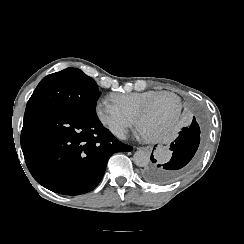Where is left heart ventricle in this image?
Returning a JSON list of instances; mask_svg holds the SVG:
<instances>
[{
	"mask_svg": "<svg viewBox=\"0 0 244 244\" xmlns=\"http://www.w3.org/2000/svg\"><path fill=\"white\" fill-rule=\"evenodd\" d=\"M177 107L178 101L176 98L163 96L146 111L144 116L146 127L157 131L161 127V123L167 121L177 110Z\"/></svg>",
	"mask_w": 244,
	"mask_h": 244,
	"instance_id": "obj_1",
	"label": "left heart ventricle"
}]
</instances>
